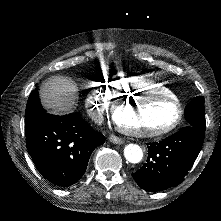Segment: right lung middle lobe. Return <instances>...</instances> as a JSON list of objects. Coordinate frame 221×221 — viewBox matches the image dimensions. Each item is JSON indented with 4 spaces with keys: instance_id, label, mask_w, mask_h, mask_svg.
<instances>
[{
    "instance_id": "right-lung-middle-lobe-1",
    "label": "right lung middle lobe",
    "mask_w": 221,
    "mask_h": 221,
    "mask_svg": "<svg viewBox=\"0 0 221 221\" xmlns=\"http://www.w3.org/2000/svg\"><path fill=\"white\" fill-rule=\"evenodd\" d=\"M44 109L42 108L40 104V99L38 96V87H36L30 94L28 101H27V106H26V116L41 112Z\"/></svg>"
}]
</instances>
